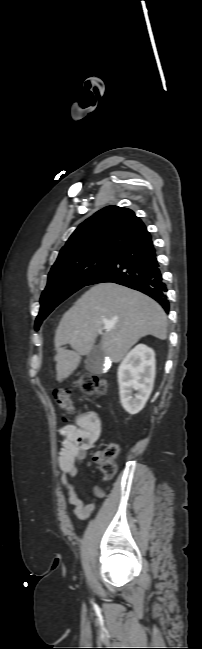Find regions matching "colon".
<instances>
[{"mask_svg":"<svg viewBox=\"0 0 202 649\" xmlns=\"http://www.w3.org/2000/svg\"><path fill=\"white\" fill-rule=\"evenodd\" d=\"M77 386L87 394H103L106 391V382L96 375H84L77 381ZM54 399L58 406L66 413L74 410L71 393L68 389H56ZM121 449L118 444H109L103 450L94 453L93 461L98 466L105 478H112L116 474L115 458Z\"/></svg>","mask_w":202,"mask_h":649,"instance_id":"5ec220e1","label":"colon"}]
</instances>
